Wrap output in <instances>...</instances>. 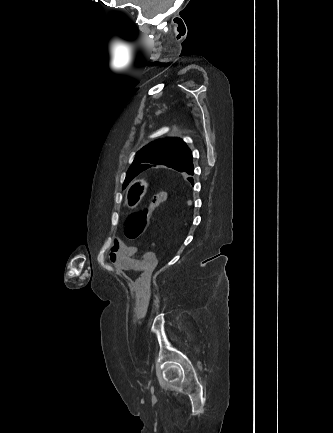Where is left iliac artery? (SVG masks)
<instances>
[{"label":"left iliac artery","mask_w":333,"mask_h":433,"mask_svg":"<svg viewBox=\"0 0 333 433\" xmlns=\"http://www.w3.org/2000/svg\"><path fill=\"white\" fill-rule=\"evenodd\" d=\"M151 392H154V387L153 386H151Z\"/></svg>","instance_id":"obj_1"}]
</instances>
